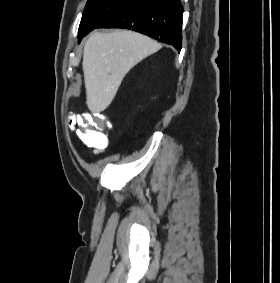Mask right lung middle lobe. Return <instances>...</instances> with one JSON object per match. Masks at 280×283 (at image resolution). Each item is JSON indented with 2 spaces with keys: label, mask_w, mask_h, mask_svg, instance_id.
Listing matches in <instances>:
<instances>
[{
  "label": "right lung middle lobe",
  "mask_w": 280,
  "mask_h": 283,
  "mask_svg": "<svg viewBox=\"0 0 280 283\" xmlns=\"http://www.w3.org/2000/svg\"><path fill=\"white\" fill-rule=\"evenodd\" d=\"M134 1L136 0H88L78 30L79 42L103 20Z\"/></svg>",
  "instance_id": "1"
}]
</instances>
